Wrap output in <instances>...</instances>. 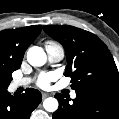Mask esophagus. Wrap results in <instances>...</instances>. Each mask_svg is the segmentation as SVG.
I'll return each instance as SVG.
<instances>
[{"instance_id": "obj_1", "label": "esophagus", "mask_w": 119, "mask_h": 119, "mask_svg": "<svg viewBox=\"0 0 119 119\" xmlns=\"http://www.w3.org/2000/svg\"><path fill=\"white\" fill-rule=\"evenodd\" d=\"M50 94L46 93V92H42V98L45 99L46 97H48Z\"/></svg>"}]
</instances>
